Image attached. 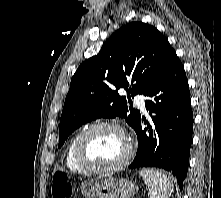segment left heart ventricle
Here are the masks:
<instances>
[{
  "instance_id": "1",
  "label": "left heart ventricle",
  "mask_w": 221,
  "mask_h": 198,
  "mask_svg": "<svg viewBox=\"0 0 221 198\" xmlns=\"http://www.w3.org/2000/svg\"><path fill=\"white\" fill-rule=\"evenodd\" d=\"M126 152L124 137L113 129H98L86 139L84 153L87 160L100 167L118 163Z\"/></svg>"
}]
</instances>
